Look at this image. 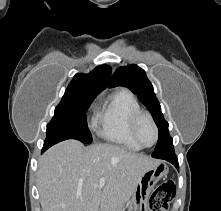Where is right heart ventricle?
Listing matches in <instances>:
<instances>
[{"label":"right heart ventricle","mask_w":221,"mask_h":211,"mask_svg":"<svg viewBox=\"0 0 221 211\" xmlns=\"http://www.w3.org/2000/svg\"><path fill=\"white\" fill-rule=\"evenodd\" d=\"M141 110L140 104L134 94L120 88L113 91L104 100L97 117V132L99 136L110 143L122 146L132 151L142 148L133 140L129 122L131 115Z\"/></svg>","instance_id":"e07e8e85"}]
</instances>
